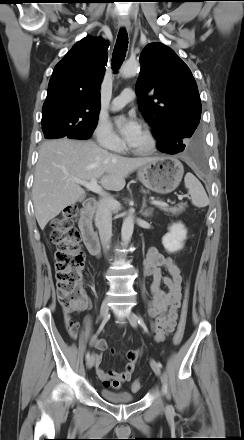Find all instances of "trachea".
Returning <instances> with one entry per match:
<instances>
[{"label":"trachea","mask_w":244,"mask_h":440,"mask_svg":"<svg viewBox=\"0 0 244 440\" xmlns=\"http://www.w3.org/2000/svg\"><path fill=\"white\" fill-rule=\"evenodd\" d=\"M127 48H128V35L126 30L123 28L119 31L116 44L113 50L112 67L114 70H117L124 61Z\"/></svg>","instance_id":"obj_1"}]
</instances>
